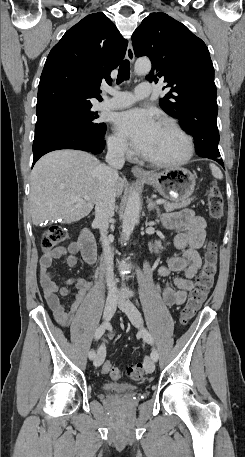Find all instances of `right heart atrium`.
Instances as JSON below:
<instances>
[{"instance_id":"right-heart-atrium-1","label":"right heart atrium","mask_w":245,"mask_h":457,"mask_svg":"<svg viewBox=\"0 0 245 457\" xmlns=\"http://www.w3.org/2000/svg\"><path fill=\"white\" fill-rule=\"evenodd\" d=\"M108 144L111 151L117 155L130 157L132 155L129 144L123 137L117 134H113L108 139Z\"/></svg>"}]
</instances>
